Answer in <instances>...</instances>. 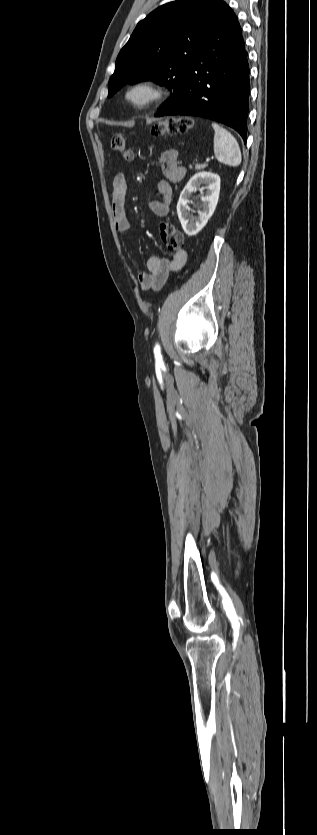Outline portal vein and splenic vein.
<instances>
[{
  "mask_svg": "<svg viewBox=\"0 0 317 835\" xmlns=\"http://www.w3.org/2000/svg\"><path fill=\"white\" fill-rule=\"evenodd\" d=\"M211 159H213V157H207V158L205 159V162H206V163H208V162H210V161H211Z\"/></svg>",
  "mask_w": 317,
  "mask_h": 835,
  "instance_id": "18ae733b",
  "label": "portal vein and splenic vein"
}]
</instances>
